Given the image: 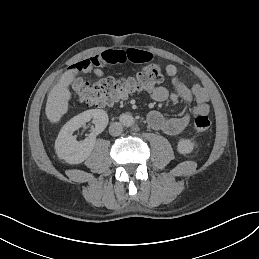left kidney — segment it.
<instances>
[{"label":"left kidney","mask_w":259,"mask_h":259,"mask_svg":"<svg viewBox=\"0 0 259 259\" xmlns=\"http://www.w3.org/2000/svg\"><path fill=\"white\" fill-rule=\"evenodd\" d=\"M194 143L187 139L179 141L177 150L180 154H189L193 151Z\"/></svg>","instance_id":"1"}]
</instances>
